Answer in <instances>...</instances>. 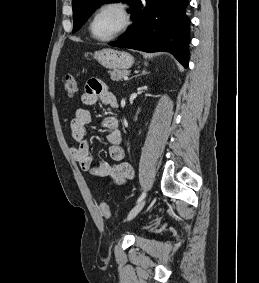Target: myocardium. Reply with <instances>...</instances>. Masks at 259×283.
<instances>
[{
  "label": "myocardium",
  "mask_w": 259,
  "mask_h": 283,
  "mask_svg": "<svg viewBox=\"0 0 259 283\" xmlns=\"http://www.w3.org/2000/svg\"><path fill=\"white\" fill-rule=\"evenodd\" d=\"M110 8H115V9L120 11V13L123 16V24L119 28V30H117L114 34H112L109 37H105V38L96 37L93 34V31H92V26H93L94 20L96 19V17L101 12H103L106 9H110ZM131 23H132V13H131L129 6L126 3H124L123 1H120V0H110V1H107L103 4H101L99 7H97L95 9V11L93 12V14H92V16L89 20V23H88V31H89L90 36L94 40H96L98 42H109V41H112V40L118 38L122 34H124L129 29Z\"/></svg>",
  "instance_id": "1"
}]
</instances>
